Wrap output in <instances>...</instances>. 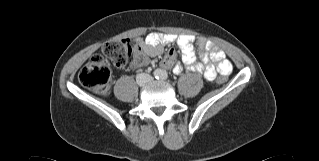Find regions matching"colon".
I'll return each mask as SVG.
<instances>
[{
  "label": "colon",
  "instance_id": "colon-1",
  "mask_svg": "<svg viewBox=\"0 0 319 161\" xmlns=\"http://www.w3.org/2000/svg\"><path fill=\"white\" fill-rule=\"evenodd\" d=\"M103 53L118 67L138 69L149 65L150 55L145 47L130 39L108 41L103 46ZM222 75L218 83L226 82ZM80 83L96 93L104 94L109 90L111 70L100 55H94L79 72Z\"/></svg>",
  "mask_w": 319,
  "mask_h": 161
}]
</instances>
